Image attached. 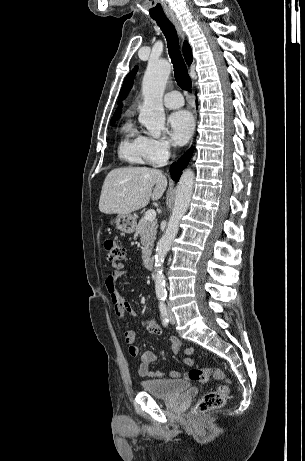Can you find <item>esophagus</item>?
I'll return each instance as SVG.
<instances>
[{
	"instance_id": "esophagus-1",
	"label": "esophagus",
	"mask_w": 305,
	"mask_h": 461,
	"mask_svg": "<svg viewBox=\"0 0 305 461\" xmlns=\"http://www.w3.org/2000/svg\"><path fill=\"white\" fill-rule=\"evenodd\" d=\"M169 20L172 22V24L174 25V27L176 28L181 40L183 41L185 39V33L182 29V25L180 23V21L178 20V18L176 16H169L168 17Z\"/></svg>"
}]
</instances>
